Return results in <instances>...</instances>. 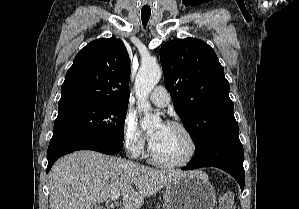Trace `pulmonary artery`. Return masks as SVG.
<instances>
[{"label":"pulmonary artery","instance_id":"e3ab8cb5","mask_svg":"<svg viewBox=\"0 0 299 209\" xmlns=\"http://www.w3.org/2000/svg\"><path fill=\"white\" fill-rule=\"evenodd\" d=\"M149 99L158 107H166L170 103V94L166 88L157 86L149 95Z\"/></svg>","mask_w":299,"mask_h":209}]
</instances>
